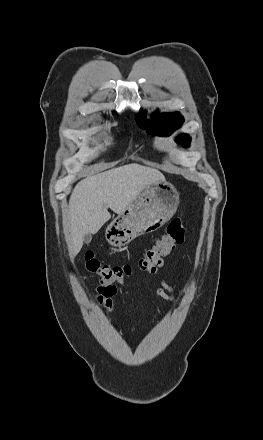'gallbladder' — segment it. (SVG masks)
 <instances>
[{"label": "gallbladder", "instance_id": "1", "mask_svg": "<svg viewBox=\"0 0 263 440\" xmlns=\"http://www.w3.org/2000/svg\"><path fill=\"white\" fill-rule=\"evenodd\" d=\"M91 240H92V237H91L90 234H86V235L83 237V242H84L85 244H89V243L91 242Z\"/></svg>", "mask_w": 263, "mask_h": 440}]
</instances>
